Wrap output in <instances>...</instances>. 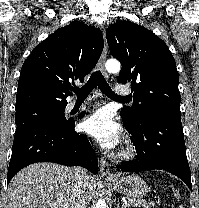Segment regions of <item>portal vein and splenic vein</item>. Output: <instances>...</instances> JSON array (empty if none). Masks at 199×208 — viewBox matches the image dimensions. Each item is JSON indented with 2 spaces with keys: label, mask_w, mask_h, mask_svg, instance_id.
Listing matches in <instances>:
<instances>
[{
  "label": "portal vein and splenic vein",
  "mask_w": 199,
  "mask_h": 208,
  "mask_svg": "<svg viewBox=\"0 0 199 208\" xmlns=\"http://www.w3.org/2000/svg\"><path fill=\"white\" fill-rule=\"evenodd\" d=\"M128 206H129V204L127 202L123 204L124 208H127Z\"/></svg>",
  "instance_id": "18ae733b"
}]
</instances>
